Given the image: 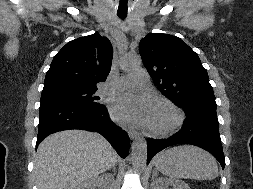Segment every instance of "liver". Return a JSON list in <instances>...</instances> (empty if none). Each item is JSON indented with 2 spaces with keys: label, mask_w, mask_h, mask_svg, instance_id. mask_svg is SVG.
<instances>
[{
  "label": "liver",
  "mask_w": 253,
  "mask_h": 189,
  "mask_svg": "<svg viewBox=\"0 0 253 189\" xmlns=\"http://www.w3.org/2000/svg\"><path fill=\"white\" fill-rule=\"evenodd\" d=\"M118 155L101 135L82 130L51 134L39 145L34 162L38 189H76L111 169Z\"/></svg>",
  "instance_id": "obj_1"
}]
</instances>
